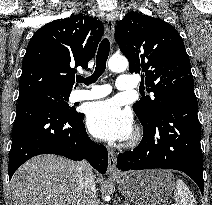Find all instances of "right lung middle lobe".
<instances>
[{
  "label": "right lung middle lobe",
  "instance_id": "obj_1",
  "mask_svg": "<svg viewBox=\"0 0 212 205\" xmlns=\"http://www.w3.org/2000/svg\"><path fill=\"white\" fill-rule=\"evenodd\" d=\"M70 93H57V92H35L22 97H19L18 102L21 101H38L57 107L63 113L68 115L79 114L75 111L74 107H70L67 103Z\"/></svg>",
  "mask_w": 212,
  "mask_h": 205
}]
</instances>
